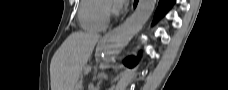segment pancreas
Masks as SVG:
<instances>
[{
    "instance_id": "obj_1",
    "label": "pancreas",
    "mask_w": 228,
    "mask_h": 90,
    "mask_svg": "<svg viewBox=\"0 0 228 90\" xmlns=\"http://www.w3.org/2000/svg\"><path fill=\"white\" fill-rule=\"evenodd\" d=\"M75 90H82V83H81V82H78V83L76 84Z\"/></svg>"
}]
</instances>
